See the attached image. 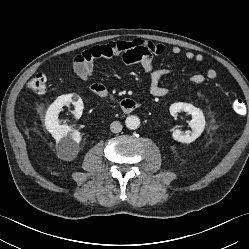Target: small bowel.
Instances as JSON below:
<instances>
[{"instance_id": "1", "label": "small bowel", "mask_w": 249, "mask_h": 249, "mask_svg": "<svg viewBox=\"0 0 249 249\" xmlns=\"http://www.w3.org/2000/svg\"><path fill=\"white\" fill-rule=\"evenodd\" d=\"M174 55L181 53L179 46H173L171 49ZM165 52V46L160 43L145 41L141 39L133 40H112L108 43L94 46L83 51L76 56L74 60V71L76 75L84 81L92 77L94 63L98 59H109L114 56H120L126 66L138 64L149 77V92L155 97H162L168 93V88L161 84L162 79L172 73L170 68H156L154 66V57L162 55ZM185 58L190 61L202 62L204 57L200 53L187 51ZM217 76L214 69H208L204 74L194 73L189 77L193 84H202L205 81L213 80ZM92 87L106 89L101 83H94Z\"/></svg>"}]
</instances>
